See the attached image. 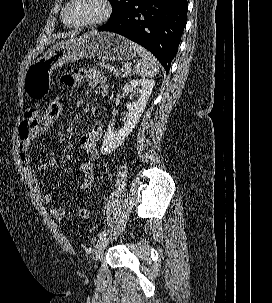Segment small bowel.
Returning a JSON list of instances; mask_svg holds the SVG:
<instances>
[{
  "label": "small bowel",
  "mask_w": 272,
  "mask_h": 303,
  "mask_svg": "<svg viewBox=\"0 0 272 303\" xmlns=\"http://www.w3.org/2000/svg\"><path fill=\"white\" fill-rule=\"evenodd\" d=\"M83 80H89L96 87L99 95L106 98L108 95V82L106 77L97 69L82 68L74 70L65 74L62 77L64 85L74 87ZM40 113L37 108L32 107L26 112L20 128V142H19V158L24 170L25 176L28 179L35 195L43 204H50L53 200V192L43 193L38 181V174L36 169L31 165L30 148L32 143L45 136L39 129ZM103 125L98 122L95 123L86 133L79 138V148L89 156V161L84 162L81 166L83 172V180L81 182V189H89L95 180V165L99 160V152L97 150V143L102 136ZM57 162L54 158L48 160L47 163L39 166V171H45L49 168H56ZM63 207H55L51 209V214L57 219L64 216Z\"/></svg>",
  "instance_id": "small-bowel-1"
}]
</instances>
